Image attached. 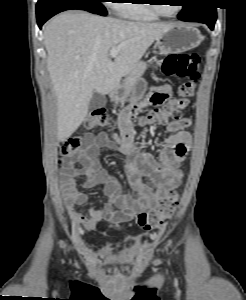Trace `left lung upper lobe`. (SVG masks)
I'll list each match as a JSON object with an SVG mask.
<instances>
[{
	"instance_id": "5c2ea615",
	"label": "left lung upper lobe",
	"mask_w": 246,
	"mask_h": 300,
	"mask_svg": "<svg viewBox=\"0 0 246 300\" xmlns=\"http://www.w3.org/2000/svg\"><path fill=\"white\" fill-rule=\"evenodd\" d=\"M211 2V0H187L188 4L183 6V9L179 13V16L189 14L200 7L210 4Z\"/></svg>"
}]
</instances>
